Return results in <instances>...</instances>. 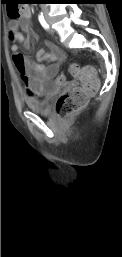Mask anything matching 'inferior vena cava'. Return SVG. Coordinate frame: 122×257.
<instances>
[{
  "mask_svg": "<svg viewBox=\"0 0 122 257\" xmlns=\"http://www.w3.org/2000/svg\"><path fill=\"white\" fill-rule=\"evenodd\" d=\"M41 6H42V10L43 11H47V9H48V4H41Z\"/></svg>",
  "mask_w": 122,
  "mask_h": 257,
  "instance_id": "602c4592",
  "label": "inferior vena cava"
}]
</instances>
